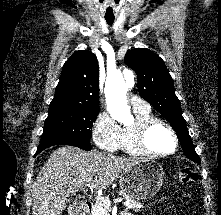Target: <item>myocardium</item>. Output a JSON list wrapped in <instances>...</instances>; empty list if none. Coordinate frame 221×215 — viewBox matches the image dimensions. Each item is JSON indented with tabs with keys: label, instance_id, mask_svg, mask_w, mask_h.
Segmentation results:
<instances>
[{
	"label": "myocardium",
	"instance_id": "myocardium-1",
	"mask_svg": "<svg viewBox=\"0 0 221 215\" xmlns=\"http://www.w3.org/2000/svg\"><path fill=\"white\" fill-rule=\"evenodd\" d=\"M158 125H161L167 128L173 137L174 148L169 152H162V153L155 152L148 146V143H147L148 134L154 127ZM133 144L135 148L144 155L162 158V157L170 156L177 151L178 146H179V139L174 128L169 123L158 118H152V119L143 121L135 126L134 131H133Z\"/></svg>",
	"mask_w": 221,
	"mask_h": 215
}]
</instances>
